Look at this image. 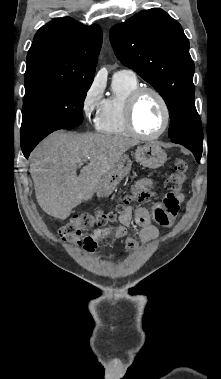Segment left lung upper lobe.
I'll list each match as a JSON object with an SVG mask.
<instances>
[{
	"mask_svg": "<svg viewBox=\"0 0 221 379\" xmlns=\"http://www.w3.org/2000/svg\"><path fill=\"white\" fill-rule=\"evenodd\" d=\"M117 58L150 83L168 106L174 143L203 147L194 99V62L181 25L159 8L143 10L110 30Z\"/></svg>",
	"mask_w": 221,
	"mask_h": 379,
	"instance_id": "5c2ea615",
	"label": "left lung upper lobe"
}]
</instances>
